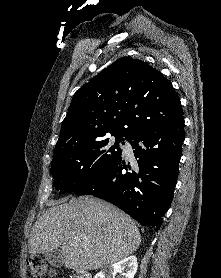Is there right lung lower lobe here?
I'll list each match as a JSON object with an SVG mask.
<instances>
[{
  "label": "right lung lower lobe",
  "mask_w": 221,
  "mask_h": 278,
  "mask_svg": "<svg viewBox=\"0 0 221 278\" xmlns=\"http://www.w3.org/2000/svg\"><path fill=\"white\" fill-rule=\"evenodd\" d=\"M126 139L136 161H125L121 154L74 193L104 199L143 226L159 229L173 199L184 142V116L139 130Z\"/></svg>",
  "instance_id": "98d812e1"
}]
</instances>
